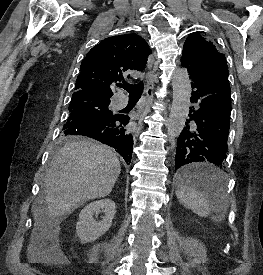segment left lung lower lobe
Returning a JSON list of instances; mask_svg holds the SVG:
<instances>
[{"label": "left lung lower lobe", "instance_id": "obj_1", "mask_svg": "<svg viewBox=\"0 0 263 275\" xmlns=\"http://www.w3.org/2000/svg\"><path fill=\"white\" fill-rule=\"evenodd\" d=\"M185 68L194 88L190 100L197 105L190 107L186 126L178 137L175 170L181 182L197 183L213 195L221 178L196 163L209 162L218 168L225 164L231 114L228 68Z\"/></svg>", "mask_w": 263, "mask_h": 275}]
</instances>
